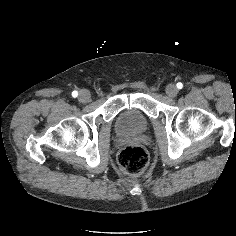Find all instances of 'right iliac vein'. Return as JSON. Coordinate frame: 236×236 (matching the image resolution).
Instances as JSON below:
<instances>
[{"label":"right iliac vein","mask_w":236,"mask_h":236,"mask_svg":"<svg viewBox=\"0 0 236 236\" xmlns=\"http://www.w3.org/2000/svg\"><path fill=\"white\" fill-rule=\"evenodd\" d=\"M91 94L88 90H81L78 95V100L81 103H86L90 100Z\"/></svg>","instance_id":"1"}]
</instances>
